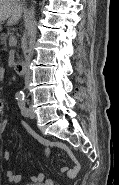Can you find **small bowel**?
<instances>
[{"label": "small bowel", "mask_w": 119, "mask_h": 185, "mask_svg": "<svg viewBox=\"0 0 119 185\" xmlns=\"http://www.w3.org/2000/svg\"><path fill=\"white\" fill-rule=\"evenodd\" d=\"M4 74L5 71L3 68L0 69V79L4 78ZM0 113L3 115L4 114V105L2 102H0ZM10 121L7 119H4L1 123V131L2 133H4L9 125ZM22 126L29 132L31 133L34 138L41 143L43 146L46 147V152L48 154L49 152V148L50 147H55L58 149H61L63 151H65L71 158V166L70 167H62L61 168V172L65 173L68 179H75L76 176L78 175L79 171H80V163L79 161L75 158L74 154L72 153V151L70 150V148L68 146H66L65 144L61 143V142H50L46 139H44L43 137L37 135L34 131H32V129L25 125L22 124ZM3 158L5 160H10L11 158V154L9 151L4 150L3 152ZM5 176L8 179V181L12 182V183H18L21 181L22 176L15 174L12 170L10 169H6L5 170ZM31 180L33 182H37V183H42V185H54L53 181L51 179H46L45 175L43 173H39L37 175L32 176Z\"/></svg>", "instance_id": "small-bowel-1"}]
</instances>
